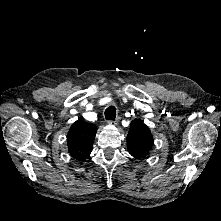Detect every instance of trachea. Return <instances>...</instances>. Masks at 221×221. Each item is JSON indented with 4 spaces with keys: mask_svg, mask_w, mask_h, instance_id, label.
<instances>
[{
    "mask_svg": "<svg viewBox=\"0 0 221 221\" xmlns=\"http://www.w3.org/2000/svg\"><path fill=\"white\" fill-rule=\"evenodd\" d=\"M105 118L107 120H115V118H116V108L114 106H109L105 110Z\"/></svg>",
    "mask_w": 221,
    "mask_h": 221,
    "instance_id": "1",
    "label": "trachea"
}]
</instances>
